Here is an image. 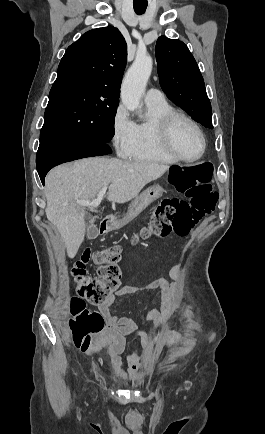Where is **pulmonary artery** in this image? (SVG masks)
<instances>
[{
  "label": "pulmonary artery",
  "instance_id": "e3ab8cb5",
  "mask_svg": "<svg viewBox=\"0 0 265 434\" xmlns=\"http://www.w3.org/2000/svg\"><path fill=\"white\" fill-rule=\"evenodd\" d=\"M165 99V92L159 91L158 87H149L144 95L145 103H162Z\"/></svg>",
  "mask_w": 265,
  "mask_h": 434
}]
</instances>
